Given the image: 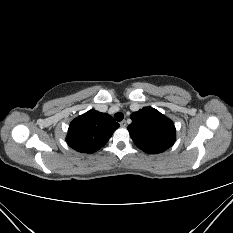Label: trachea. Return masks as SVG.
Returning a JSON list of instances; mask_svg holds the SVG:
<instances>
[{"mask_svg": "<svg viewBox=\"0 0 233 233\" xmlns=\"http://www.w3.org/2000/svg\"><path fill=\"white\" fill-rule=\"evenodd\" d=\"M123 118H124V114L123 113H121V112H118V113H116L115 115H114V119L116 120V121H122L123 120Z\"/></svg>", "mask_w": 233, "mask_h": 233, "instance_id": "1", "label": "trachea"}]
</instances>
